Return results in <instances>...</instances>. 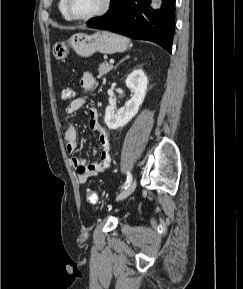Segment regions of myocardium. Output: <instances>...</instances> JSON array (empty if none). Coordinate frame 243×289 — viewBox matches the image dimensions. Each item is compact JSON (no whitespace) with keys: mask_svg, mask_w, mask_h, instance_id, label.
I'll return each instance as SVG.
<instances>
[{"mask_svg":"<svg viewBox=\"0 0 243 289\" xmlns=\"http://www.w3.org/2000/svg\"><path fill=\"white\" fill-rule=\"evenodd\" d=\"M112 4V0H104L102 7L95 13L88 15V16H75L72 14L71 9H70V0H65V9H66V13L69 16V18L71 20H76V21H88V20H92L98 17L103 16L104 14H106Z\"/></svg>","mask_w":243,"mask_h":289,"instance_id":"myocardium-1","label":"myocardium"}]
</instances>
